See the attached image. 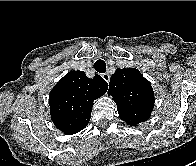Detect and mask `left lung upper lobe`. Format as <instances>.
Returning <instances> with one entry per match:
<instances>
[{"instance_id":"left-lung-upper-lobe-1","label":"left lung upper lobe","mask_w":196,"mask_h":166,"mask_svg":"<svg viewBox=\"0 0 196 166\" xmlns=\"http://www.w3.org/2000/svg\"><path fill=\"white\" fill-rule=\"evenodd\" d=\"M108 95L117 104L121 120L137 126L151 116L154 92L150 82L135 68L117 69L111 76Z\"/></svg>"}]
</instances>
